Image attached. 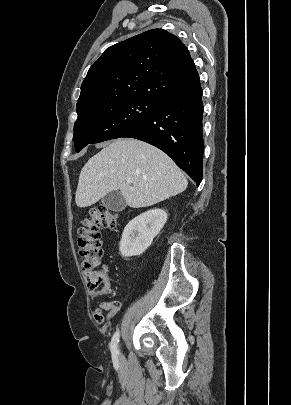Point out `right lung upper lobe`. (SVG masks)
<instances>
[{"mask_svg":"<svg viewBox=\"0 0 291 405\" xmlns=\"http://www.w3.org/2000/svg\"><path fill=\"white\" fill-rule=\"evenodd\" d=\"M199 79L186 46L163 29H153L109 47L90 67L77 110L130 97L158 100Z\"/></svg>","mask_w":291,"mask_h":405,"instance_id":"obj_1","label":"right lung upper lobe"}]
</instances>
